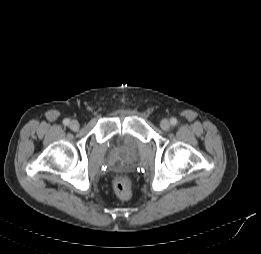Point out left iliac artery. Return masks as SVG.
<instances>
[{
    "label": "left iliac artery",
    "instance_id": "44dca946",
    "mask_svg": "<svg viewBox=\"0 0 261 254\" xmlns=\"http://www.w3.org/2000/svg\"><path fill=\"white\" fill-rule=\"evenodd\" d=\"M170 122H171V124L174 125V126L178 123V121H177L176 118H171Z\"/></svg>",
    "mask_w": 261,
    "mask_h": 254
}]
</instances>
